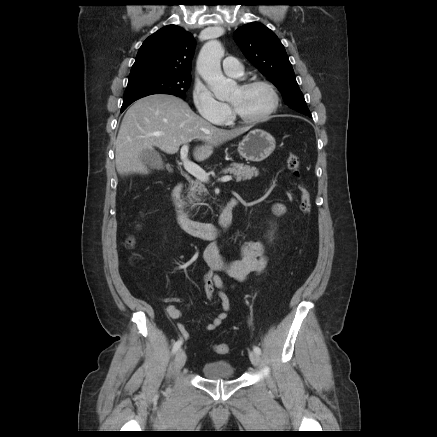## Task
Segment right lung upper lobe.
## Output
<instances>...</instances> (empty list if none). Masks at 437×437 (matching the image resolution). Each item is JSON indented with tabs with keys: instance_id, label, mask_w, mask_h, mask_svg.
Returning a JSON list of instances; mask_svg holds the SVG:
<instances>
[{
	"instance_id": "right-lung-upper-lobe-1",
	"label": "right lung upper lobe",
	"mask_w": 437,
	"mask_h": 437,
	"mask_svg": "<svg viewBox=\"0 0 437 437\" xmlns=\"http://www.w3.org/2000/svg\"><path fill=\"white\" fill-rule=\"evenodd\" d=\"M194 48L191 33L179 26L168 25L144 41L131 72L152 70L171 75H190Z\"/></svg>"
}]
</instances>
